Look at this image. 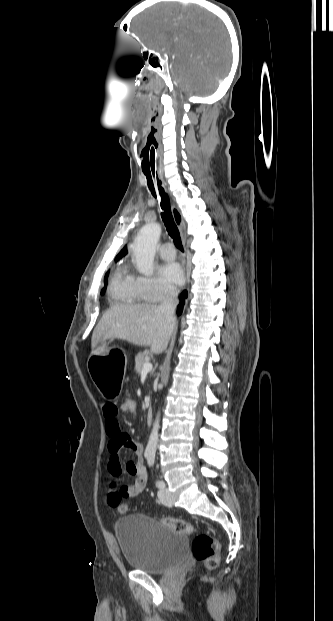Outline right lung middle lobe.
I'll use <instances>...</instances> for the list:
<instances>
[{"label":"right lung middle lobe","mask_w":333,"mask_h":621,"mask_svg":"<svg viewBox=\"0 0 333 621\" xmlns=\"http://www.w3.org/2000/svg\"><path fill=\"white\" fill-rule=\"evenodd\" d=\"M107 275H108V272H107V273H106V275H105V279H104V284H105V286H104V288L101 290V295H104L105 290H106V285H107V282H106V277H107Z\"/></svg>","instance_id":"right-lung-middle-lobe-1"}]
</instances>
